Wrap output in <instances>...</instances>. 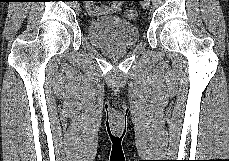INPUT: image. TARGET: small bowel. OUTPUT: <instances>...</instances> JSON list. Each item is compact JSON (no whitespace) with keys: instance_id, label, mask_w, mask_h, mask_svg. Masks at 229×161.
<instances>
[{"instance_id":"obj_1","label":"small bowel","mask_w":229,"mask_h":161,"mask_svg":"<svg viewBox=\"0 0 229 161\" xmlns=\"http://www.w3.org/2000/svg\"><path fill=\"white\" fill-rule=\"evenodd\" d=\"M118 10H119V4H116V3L108 5V6L100 7V8L91 7L92 12L114 13V12H117Z\"/></svg>"}]
</instances>
